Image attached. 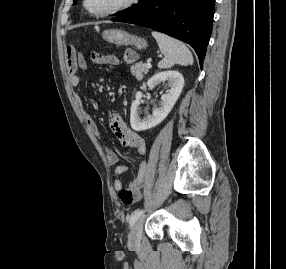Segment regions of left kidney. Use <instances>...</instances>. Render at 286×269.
I'll return each mask as SVG.
<instances>
[{
  "instance_id": "1",
  "label": "left kidney",
  "mask_w": 286,
  "mask_h": 269,
  "mask_svg": "<svg viewBox=\"0 0 286 269\" xmlns=\"http://www.w3.org/2000/svg\"><path fill=\"white\" fill-rule=\"evenodd\" d=\"M165 81H167L169 89L161 97V106L154 109L152 115H147V117L142 120L139 117V105L143 94L142 92L136 93L130 113V124L135 131H145L157 126L172 110L182 92L184 78L178 71L159 72L148 80L147 86L153 89L156 85Z\"/></svg>"
}]
</instances>
